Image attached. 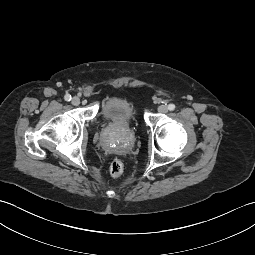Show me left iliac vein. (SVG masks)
Returning <instances> with one entry per match:
<instances>
[{"label": "left iliac vein", "mask_w": 255, "mask_h": 255, "mask_svg": "<svg viewBox=\"0 0 255 255\" xmlns=\"http://www.w3.org/2000/svg\"><path fill=\"white\" fill-rule=\"evenodd\" d=\"M167 111H168V107L166 105H160L158 107V112L160 113H167Z\"/></svg>", "instance_id": "left-iliac-vein-1"}]
</instances>
